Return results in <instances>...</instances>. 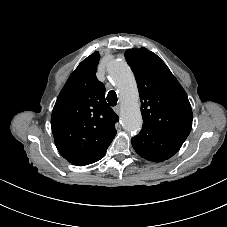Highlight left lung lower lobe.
<instances>
[{
    "instance_id": "0a47b994",
    "label": "left lung lower lobe",
    "mask_w": 227,
    "mask_h": 227,
    "mask_svg": "<svg viewBox=\"0 0 227 227\" xmlns=\"http://www.w3.org/2000/svg\"><path fill=\"white\" fill-rule=\"evenodd\" d=\"M184 142L178 141L151 128L142 127L132 138L134 150L143 158L161 162L178 152Z\"/></svg>"
}]
</instances>
